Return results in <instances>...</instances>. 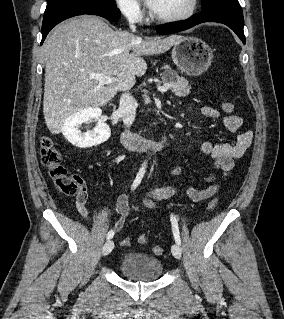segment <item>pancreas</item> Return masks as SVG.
Segmentation results:
<instances>
[{"instance_id": "cf45deb5", "label": "pancreas", "mask_w": 284, "mask_h": 319, "mask_svg": "<svg viewBox=\"0 0 284 319\" xmlns=\"http://www.w3.org/2000/svg\"><path fill=\"white\" fill-rule=\"evenodd\" d=\"M162 80L164 83L170 84L171 91L175 93L176 96L184 97L190 93L191 86L184 77H179L174 71H167L164 73ZM147 104L148 100L145 101Z\"/></svg>"}]
</instances>
